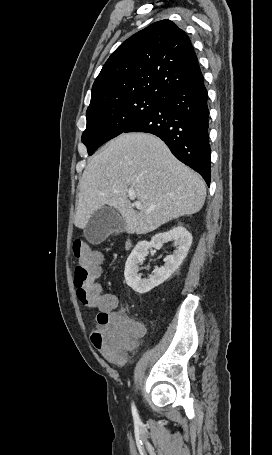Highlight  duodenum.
I'll list each match as a JSON object with an SVG mask.
<instances>
[{"label":"duodenum","instance_id":"obj_1","mask_svg":"<svg viewBox=\"0 0 272 455\" xmlns=\"http://www.w3.org/2000/svg\"><path fill=\"white\" fill-rule=\"evenodd\" d=\"M132 246H133L132 241H128V242H127V247H128V248H131Z\"/></svg>","mask_w":272,"mask_h":455}]
</instances>
